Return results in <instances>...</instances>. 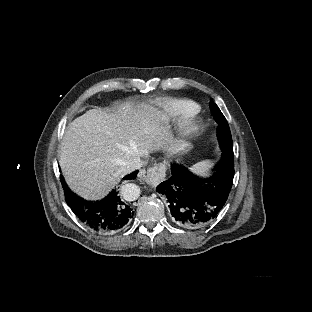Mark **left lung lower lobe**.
Returning <instances> with one entry per match:
<instances>
[{
	"instance_id": "left-lung-lower-lobe-1",
	"label": "left lung lower lobe",
	"mask_w": 312,
	"mask_h": 312,
	"mask_svg": "<svg viewBox=\"0 0 312 312\" xmlns=\"http://www.w3.org/2000/svg\"><path fill=\"white\" fill-rule=\"evenodd\" d=\"M222 160L209 177H200L183 165L173 164L172 176L157 187L167 198L170 218L187 229H200L220 212L234 177L233 149L221 147Z\"/></svg>"
}]
</instances>
